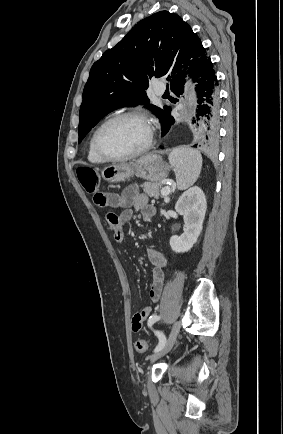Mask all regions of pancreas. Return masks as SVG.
<instances>
[{
	"label": "pancreas",
	"instance_id": "obj_1",
	"mask_svg": "<svg viewBox=\"0 0 283 434\" xmlns=\"http://www.w3.org/2000/svg\"><path fill=\"white\" fill-rule=\"evenodd\" d=\"M143 191L149 197L159 198L160 191L162 190V185L160 182H145L141 185Z\"/></svg>",
	"mask_w": 283,
	"mask_h": 434
}]
</instances>
